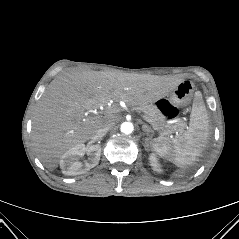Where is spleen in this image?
<instances>
[{
  "instance_id": "3e777b00",
  "label": "spleen",
  "mask_w": 239,
  "mask_h": 239,
  "mask_svg": "<svg viewBox=\"0 0 239 239\" xmlns=\"http://www.w3.org/2000/svg\"><path fill=\"white\" fill-rule=\"evenodd\" d=\"M208 115L200 94L195 95L186 131L174 139L158 137L150 144L157 154L177 167L191 165L203 151L208 137Z\"/></svg>"
}]
</instances>
